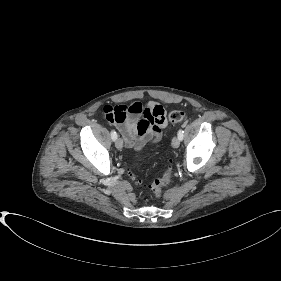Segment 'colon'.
Wrapping results in <instances>:
<instances>
[{"mask_svg": "<svg viewBox=\"0 0 281 281\" xmlns=\"http://www.w3.org/2000/svg\"><path fill=\"white\" fill-rule=\"evenodd\" d=\"M137 111H139L138 102L133 103L130 106L127 105H118L115 107L107 106L104 110V113L108 120L121 123L126 119L129 113L137 112ZM184 118H185V113L180 110L172 111L169 114V121L172 124H179L184 120ZM127 173L133 180L137 179L136 175L129 168H127ZM171 179H172V169L169 168L163 177L159 179H154L153 182L149 185V189L153 192L156 198H160L162 196L163 189L170 184ZM143 200L144 201L148 200V196L145 195L143 197Z\"/></svg>", "mask_w": 281, "mask_h": 281, "instance_id": "obj_1", "label": "colon"}]
</instances>
